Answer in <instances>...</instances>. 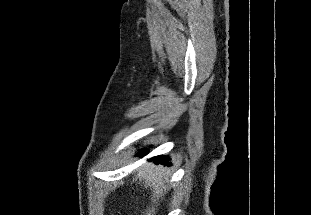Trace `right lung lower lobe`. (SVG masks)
Returning <instances> with one entry per match:
<instances>
[{
    "instance_id": "1",
    "label": "right lung lower lobe",
    "mask_w": 311,
    "mask_h": 215,
    "mask_svg": "<svg viewBox=\"0 0 311 215\" xmlns=\"http://www.w3.org/2000/svg\"><path fill=\"white\" fill-rule=\"evenodd\" d=\"M145 152H146V150H145V149H142V150L139 152V154H140V155H143ZM152 160H153L155 163H157V164L161 163V164H165V165H168V166L171 164V163H168V158H167V157H164V156H156V157L152 158Z\"/></svg>"
}]
</instances>
